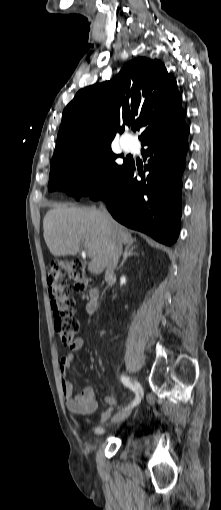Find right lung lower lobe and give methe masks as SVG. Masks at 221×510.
<instances>
[{"mask_svg":"<svg viewBox=\"0 0 221 510\" xmlns=\"http://www.w3.org/2000/svg\"><path fill=\"white\" fill-rule=\"evenodd\" d=\"M188 134L189 127L182 122L144 137L141 144L148 146L144 170L130 161L113 183L91 198L102 199L121 224L173 245L180 229Z\"/></svg>","mask_w":221,"mask_h":510,"instance_id":"right-lung-lower-lobe-1","label":"right lung lower lobe"}]
</instances>
